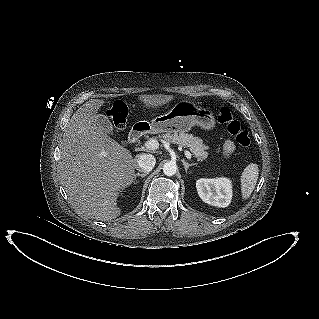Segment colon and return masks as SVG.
<instances>
[{
  "mask_svg": "<svg viewBox=\"0 0 319 319\" xmlns=\"http://www.w3.org/2000/svg\"><path fill=\"white\" fill-rule=\"evenodd\" d=\"M128 109L123 101H116L108 112V116L116 131L124 128L127 120ZM217 120L225 124L228 132L235 137L236 142L242 147L250 145L249 134L242 127V122L228 107H221L217 110Z\"/></svg>",
  "mask_w": 319,
  "mask_h": 319,
  "instance_id": "5ec220e1",
  "label": "colon"
}]
</instances>
